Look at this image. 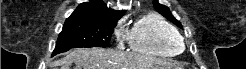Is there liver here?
Listing matches in <instances>:
<instances>
[{
  "label": "liver",
  "mask_w": 246,
  "mask_h": 69,
  "mask_svg": "<svg viewBox=\"0 0 246 69\" xmlns=\"http://www.w3.org/2000/svg\"><path fill=\"white\" fill-rule=\"evenodd\" d=\"M61 69H148L155 64H166L165 61L147 55L115 51L102 48L75 49L60 61Z\"/></svg>",
  "instance_id": "obj_1"
}]
</instances>
